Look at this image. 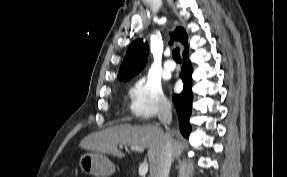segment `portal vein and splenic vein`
<instances>
[{
  "instance_id": "1",
  "label": "portal vein and splenic vein",
  "mask_w": 287,
  "mask_h": 177,
  "mask_svg": "<svg viewBox=\"0 0 287 177\" xmlns=\"http://www.w3.org/2000/svg\"><path fill=\"white\" fill-rule=\"evenodd\" d=\"M122 147V145L120 146ZM131 150H134V151H138V152H143L144 149L140 146H131L130 147ZM148 163L147 161H144L140 166H139V175L142 176V177H145V175L147 174L148 172Z\"/></svg>"
}]
</instances>
